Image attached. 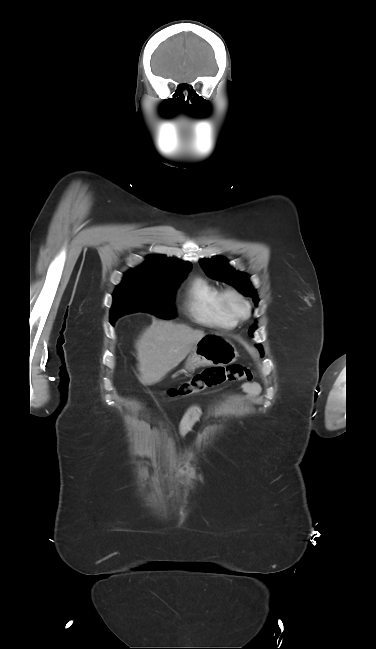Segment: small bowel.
<instances>
[{
    "instance_id": "small-bowel-1",
    "label": "small bowel",
    "mask_w": 376,
    "mask_h": 649,
    "mask_svg": "<svg viewBox=\"0 0 376 649\" xmlns=\"http://www.w3.org/2000/svg\"><path fill=\"white\" fill-rule=\"evenodd\" d=\"M243 390L250 398H256L260 394V386L255 382L244 383ZM200 416L201 408L199 405L192 404L186 409L179 425V433L182 437H186L191 432Z\"/></svg>"
}]
</instances>
